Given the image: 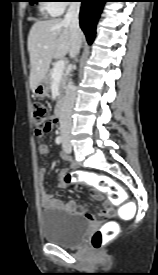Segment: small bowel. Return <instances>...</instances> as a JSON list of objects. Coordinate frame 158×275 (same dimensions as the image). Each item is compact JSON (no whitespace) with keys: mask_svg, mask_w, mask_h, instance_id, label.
Here are the masks:
<instances>
[{"mask_svg":"<svg viewBox=\"0 0 158 275\" xmlns=\"http://www.w3.org/2000/svg\"><path fill=\"white\" fill-rule=\"evenodd\" d=\"M38 149H39V152H40L41 155H46L49 152L48 146L46 144H43V143L39 144ZM61 158L63 160L69 161L71 167L75 168V163L71 160V158L68 155L62 153ZM46 173H47L46 168H41L39 173H38L39 194H40L41 203H42L44 208H52V207L63 208V209H65L67 211H70V212H76V213H79V214H83L88 219H91V220L95 219V214L87 212L84 206L78 205L74 200H70V201H68L67 203L64 204L61 200L53 197V195H51L44 186ZM66 174H67L66 170L61 171L60 176H59L60 185L64 184L63 179H64V176ZM96 197L101 198L100 195H96Z\"/></svg>","mask_w":158,"mask_h":275,"instance_id":"c3829d8e","label":"small bowel"}]
</instances>
